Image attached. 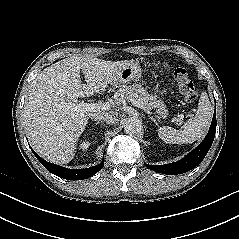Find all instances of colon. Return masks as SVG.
Returning a JSON list of instances; mask_svg holds the SVG:
<instances>
[{"label": "colon", "instance_id": "obj_1", "mask_svg": "<svg viewBox=\"0 0 239 239\" xmlns=\"http://www.w3.org/2000/svg\"><path fill=\"white\" fill-rule=\"evenodd\" d=\"M157 67L162 69H171L180 94L188 103L196 102L198 96L197 90L194 83L189 78L188 72L185 68L172 66L168 63H159L157 64Z\"/></svg>", "mask_w": 239, "mask_h": 239}]
</instances>
